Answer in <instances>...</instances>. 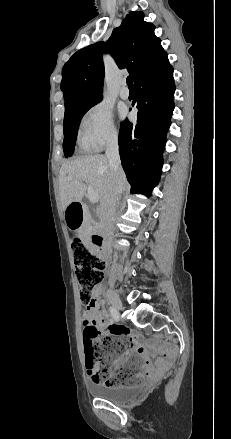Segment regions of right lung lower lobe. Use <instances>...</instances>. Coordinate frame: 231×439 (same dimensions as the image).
<instances>
[{
    "label": "right lung lower lobe",
    "mask_w": 231,
    "mask_h": 439,
    "mask_svg": "<svg viewBox=\"0 0 231 439\" xmlns=\"http://www.w3.org/2000/svg\"><path fill=\"white\" fill-rule=\"evenodd\" d=\"M137 123H121L119 153L132 193L149 195L163 165L166 133L174 110L173 67L166 56L155 68L134 81Z\"/></svg>",
    "instance_id": "right-lung-lower-lobe-1"
}]
</instances>
